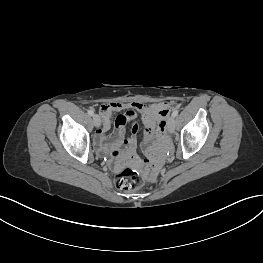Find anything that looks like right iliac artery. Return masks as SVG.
I'll use <instances>...</instances> for the list:
<instances>
[{
    "label": "right iliac artery",
    "instance_id": "82829eb1",
    "mask_svg": "<svg viewBox=\"0 0 263 263\" xmlns=\"http://www.w3.org/2000/svg\"><path fill=\"white\" fill-rule=\"evenodd\" d=\"M88 114H89L90 116H93V115H94V111H93V110H88Z\"/></svg>",
    "mask_w": 263,
    "mask_h": 263
}]
</instances>
